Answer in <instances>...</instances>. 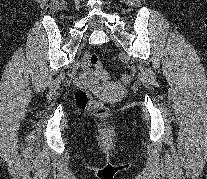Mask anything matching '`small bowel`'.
Segmentation results:
<instances>
[{
  "mask_svg": "<svg viewBox=\"0 0 207 179\" xmlns=\"http://www.w3.org/2000/svg\"><path fill=\"white\" fill-rule=\"evenodd\" d=\"M89 54H86L84 57V62L82 64V70L79 77L76 79V82L79 86L95 88L96 85L101 81L91 66L87 62V57Z\"/></svg>",
  "mask_w": 207,
  "mask_h": 179,
  "instance_id": "1",
  "label": "small bowel"
}]
</instances>
